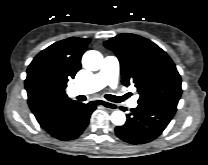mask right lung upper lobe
<instances>
[{
    "mask_svg": "<svg viewBox=\"0 0 208 165\" xmlns=\"http://www.w3.org/2000/svg\"><path fill=\"white\" fill-rule=\"evenodd\" d=\"M90 39L70 37L41 51L27 69L28 104L37 121L72 102L65 93L69 78L81 68Z\"/></svg>",
    "mask_w": 208,
    "mask_h": 165,
    "instance_id": "cb5924a9",
    "label": "right lung upper lobe"
}]
</instances>
